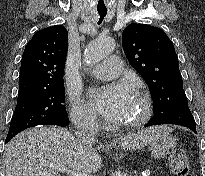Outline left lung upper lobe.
<instances>
[{
    "label": "left lung upper lobe",
    "instance_id": "left-lung-upper-lobe-1",
    "mask_svg": "<svg viewBox=\"0 0 205 176\" xmlns=\"http://www.w3.org/2000/svg\"><path fill=\"white\" fill-rule=\"evenodd\" d=\"M122 44L131 66L149 87L154 115L187 99L173 43L162 29L130 24L122 33Z\"/></svg>",
    "mask_w": 205,
    "mask_h": 176
}]
</instances>
